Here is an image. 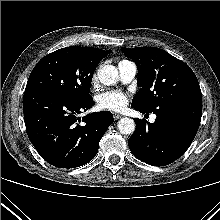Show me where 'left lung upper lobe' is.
Wrapping results in <instances>:
<instances>
[{"label": "left lung upper lobe", "instance_id": "obj_1", "mask_svg": "<svg viewBox=\"0 0 220 220\" xmlns=\"http://www.w3.org/2000/svg\"><path fill=\"white\" fill-rule=\"evenodd\" d=\"M138 68L140 90L132 101L133 108L152 112L166 102L187 95H201L194 72L183 61L155 47L122 48Z\"/></svg>", "mask_w": 220, "mask_h": 220}]
</instances>
